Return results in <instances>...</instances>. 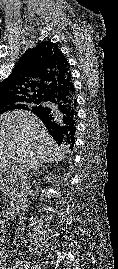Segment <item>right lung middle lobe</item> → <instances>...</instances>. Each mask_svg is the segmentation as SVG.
<instances>
[{"label":"right lung middle lobe","mask_w":118,"mask_h":269,"mask_svg":"<svg viewBox=\"0 0 118 269\" xmlns=\"http://www.w3.org/2000/svg\"><path fill=\"white\" fill-rule=\"evenodd\" d=\"M33 106V101L31 99H25L21 101L14 102H2L0 103V114L13 110V109H27Z\"/></svg>","instance_id":"1"}]
</instances>
